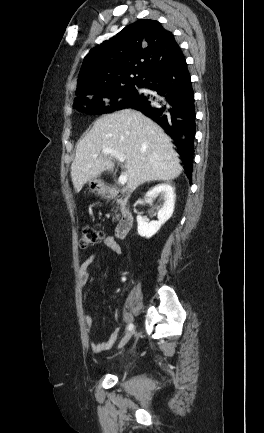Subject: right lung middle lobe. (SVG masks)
Instances as JSON below:
<instances>
[{
	"label": "right lung middle lobe",
	"mask_w": 264,
	"mask_h": 433,
	"mask_svg": "<svg viewBox=\"0 0 264 433\" xmlns=\"http://www.w3.org/2000/svg\"><path fill=\"white\" fill-rule=\"evenodd\" d=\"M136 84H127L75 101L73 108L88 114L110 113L122 109L124 105L138 96ZM139 86V83L137 84Z\"/></svg>",
	"instance_id": "right-lung-middle-lobe-1"
}]
</instances>
